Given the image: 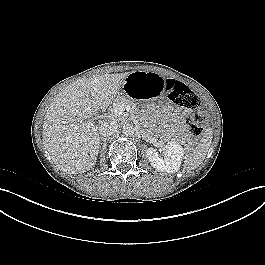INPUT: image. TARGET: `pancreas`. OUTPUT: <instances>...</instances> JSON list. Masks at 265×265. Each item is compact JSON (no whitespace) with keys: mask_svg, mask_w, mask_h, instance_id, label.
I'll use <instances>...</instances> for the list:
<instances>
[{"mask_svg":"<svg viewBox=\"0 0 265 265\" xmlns=\"http://www.w3.org/2000/svg\"><path fill=\"white\" fill-rule=\"evenodd\" d=\"M123 104L125 106H130L134 111H138L136 104L127 96L117 97L113 102V107L115 108L117 105ZM118 118V116H115Z\"/></svg>","mask_w":265,"mask_h":265,"instance_id":"obj_1","label":"pancreas"}]
</instances>
